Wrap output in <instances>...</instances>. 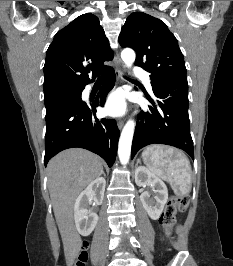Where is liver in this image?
<instances>
[{"instance_id": "6515ba94", "label": "liver", "mask_w": 233, "mask_h": 266, "mask_svg": "<svg viewBox=\"0 0 233 266\" xmlns=\"http://www.w3.org/2000/svg\"><path fill=\"white\" fill-rule=\"evenodd\" d=\"M102 170L101 159L80 148L62 151L48 163V188L66 255L79 240L73 217L76 198Z\"/></svg>"}]
</instances>
